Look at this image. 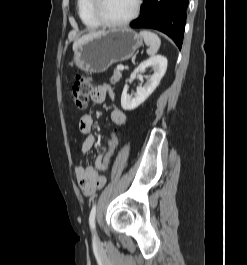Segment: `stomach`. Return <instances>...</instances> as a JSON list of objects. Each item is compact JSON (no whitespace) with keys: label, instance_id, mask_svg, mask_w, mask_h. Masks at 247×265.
I'll list each match as a JSON object with an SVG mask.
<instances>
[{"label":"stomach","instance_id":"1","mask_svg":"<svg viewBox=\"0 0 247 265\" xmlns=\"http://www.w3.org/2000/svg\"><path fill=\"white\" fill-rule=\"evenodd\" d=\"M142 44V38L129 28L109 29L79 44L73 50V63L84 72L101 73L113 63L130 59Z\"/></svg>","mask_w":247,"mask_h":265}]
</instances>
